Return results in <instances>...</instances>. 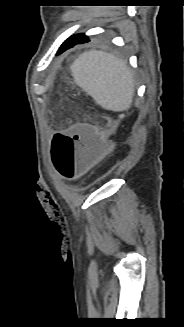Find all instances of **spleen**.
Returning <instances> with one entry per match:
<instances>
[{
  "label": "spleen",
  "mask_w": 184,
  "mask_h": 327,
  "mask_svg": "<svg viewBox=\"0 0 184 327\" xmlns=\"http://www.w3.org/2000/svg\"><path fill=\"white\" fill-rule=\"evenodd\" d=\"M75 82L101 107L111 111L130 108L134 93L127 63L112 54L91 50L71 65Z\"/></svg>",
  "instance_id": "3e777b00"
}]
</instances>
